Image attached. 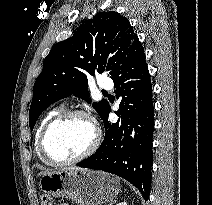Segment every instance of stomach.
I'll return each mask as SVG.
<instances>
[{"label":"stomach","instance_id":"1","mask_svg":"<svg viewBox=\"0 0 212 205\" xmlns=\"http://www.w3.org/2000/svg\"><path fill=\"white\" fill-rule=\"evenodd\" d=\"M40 189L53 197L68 198L78 205H102L112 202L120 191V184L111 174L64 168L44 174Z\"/></svg>","mask_w":212,"mask_h":205}]
</instances>
